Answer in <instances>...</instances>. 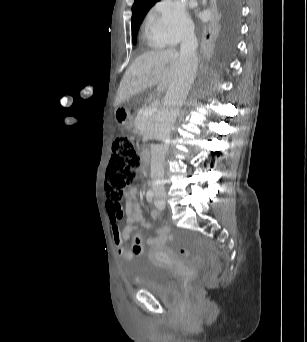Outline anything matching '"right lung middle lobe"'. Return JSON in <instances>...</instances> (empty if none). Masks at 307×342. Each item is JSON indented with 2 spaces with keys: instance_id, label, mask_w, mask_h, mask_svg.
Masks as SVG:
<instances>
[{
  "instance_id": "dd1d6c3e",
  "label": "right lung middle lobe",
  "mask_w": 307,
  "mask_h": 342,
  "mask_svg": "<svg viewBox=\"0 0 307 342\" xmlns=\"http://www.w3.org/2000/svg\"><path fill=\"white\" fill-rule=\"evenodd\" d=\"M132 36H133V35H132ZM136 37H137V33H136V35H134V36H133V40H135V39H136Z\"/></svg>"
}]
</instances>
